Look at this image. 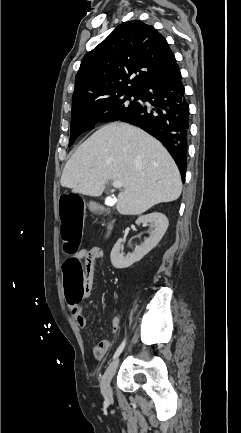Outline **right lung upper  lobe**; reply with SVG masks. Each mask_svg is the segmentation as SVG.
<instances>
[{"label": "right lung upper lobe", "instance_id": "1", "mask_svg": "<svg viewBox=\"0 0 241 433\" xmlns=\"http://www.w3.org/2000/svg\"><path fill=\"white\" fill-rule=\"evenodd\" d=\"M174 64L166 39L153 26L139 20L124 23L84 56L75 78L72 105L139 91Z\"/></svg>", "mask_w": 241, "mask_h": 433}]
</instances>
